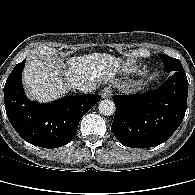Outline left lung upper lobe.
<instances>
[{"mask_svg":"<svg viewBox=\"0 0 195 195\" xmlns=\"http://www.w3.org/2000/svg\"><path fill=\"white\" fill-rule=\"evenodd\" d=\"M159 57L161 58L167 73L174 71H184L181 62L178 59L169 57L164 54H159Z\"/></svg>","mask_w":195,"mask_h":195,"instance_id":"left-lung-upper-lobe-1","label":"left lung upper lobe"}]
</instances>
